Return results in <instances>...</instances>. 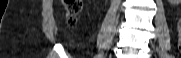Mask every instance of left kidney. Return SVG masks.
<instances>
[{
    "instance_id": "left-kidney-1",
    "label": "left kidney",
    "mask_w": 181,
    "mask_h": 58,
    "mask_svg": "<svg viewBox=\"0 0 181 58\" xmlns=\"http://www.w3.org/2000/svg\"><path fill=\"white\" fill-rule=\"evenodd\" d=\"M169 2L172 4V5H179L181 3V0H169Z\"/></svg>"
}]
</instances>
